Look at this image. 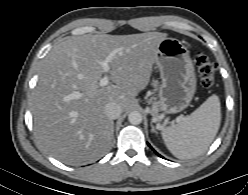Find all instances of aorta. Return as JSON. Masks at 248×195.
Instances as JSON below:
<instances>
[{"instance_id": "aorta-1", "label": "aorta", "mask_w": 248, "mask_h": 195, "mask_svg": "<svg viewBox=\"0 0 248 195\" xmlns=\"http://www.w3.org/2000/svg\"><path fill=\"white\" fill-rule=\"evenodd\" d=\"M128 121L133 125H138L142 122V114L138 111H132L128 115Z\"/></svg>"}]
</instances>
